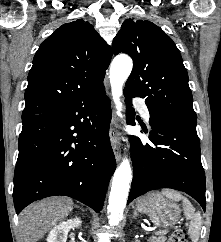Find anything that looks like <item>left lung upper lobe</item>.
<instances>
[{
  "mask_svg": "<svg viewBox=\"0 0 221 242\" xmlns=\"http://www.w3.org/2000/svg\"><path fill=\"white\" fill-rule=\"evenodd\" d=\"M113 52L134 61L124 90L145 99L150 114L196 125L188 74L175 43L150 21L126 19Z\"/></svg>",
  "mask_w": 221,
  "mask_h": 242,
  "instance_id": "left-lung-upper-lobe-1",
  "label": "left lung upper lobe"
}]
</instances>
